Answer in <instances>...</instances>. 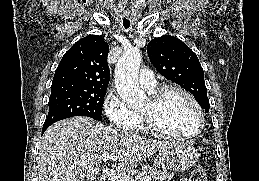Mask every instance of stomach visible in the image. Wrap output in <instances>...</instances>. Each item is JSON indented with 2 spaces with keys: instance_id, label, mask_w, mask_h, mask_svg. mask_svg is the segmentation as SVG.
Returning a JSON list of instances; mask_svg holds the SVG:
<instances>
[{
  "instance_id": "1",
  "label": "stomach",
  "mask_w": 259,
  "mask_h": 181,
  "mask_svg": "<svg viewBox=\"0 0 259 181\" xmlns=\"http://www.w3.org/2000/svg\"><path fill=\"white\" fill-rule=\"evenodd\" d=\"M198 157L199 154L193 146L176 142L158 152L157 162L164 169L181 172L196 164Z\"/></svg>"
}]
</instances>
